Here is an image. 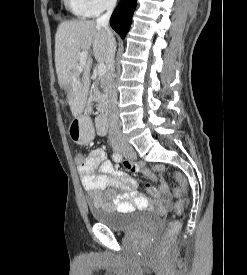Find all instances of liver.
I'll list each match as a JSON object with an SVG mask.
<instances>
[{
  "label": "liver",
  "instance_id": "6515ba94",
  "mask_svg": "<svg viewBox=\"0 0 247 275\" xmlns=\"http://www.w3.org/2000/svg\"><path fill=\"white\" fill-rule=\"evenodd\" d=\"M88 52L85 61L80 53ZM107 34L94 21H64L55 34V67L61 89L67 90V102L72 115L83 112L90 87L91 54L100 64L106 63ZM82 65V71L79 67ZM82 75V76H81Z\"/></svg>",
  "mask_w": 247,
  "mask_h": 275
}]
</instances>
